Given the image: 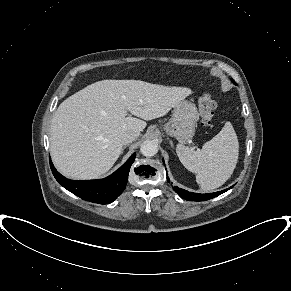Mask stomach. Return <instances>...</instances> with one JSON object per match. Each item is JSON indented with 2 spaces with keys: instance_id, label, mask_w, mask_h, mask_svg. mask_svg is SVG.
I'll use <instances>...</instances> for the list:
<instances>
[{
  "instance_id": "stomach-1",
  "label": "stomach",
  "mask_w": 291,
  "mask_h": 291,
  "mask_svg": "<svg viewBox=\"0 0 291 291\" xmlns=\"http://www.w3.org/2000/svg\"><path fill=\"white\" fill-rule=\"evenodd\" d=\"M173 108L170 120L164 125V131L184 143L195 134L198 111L195 104L187 100L178 102Z\"/></svg>"
}]
</instances>
